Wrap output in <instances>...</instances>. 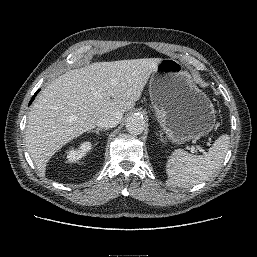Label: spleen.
Wrapping results in <instances>:
<instances>
[{"mask_svg":"<svg viewBox=\"0 0 257 257\" xmlns=\"http://www.w3.org/2000/svg\"><path fill=\"white\" fill-rule=\"evenodd\" d=\"M229 143V135L223 134L206 155L196 156L181 149L175 150L166 163V184L188 188L208 180L223 163Z\"/></svg>","mask_w":257,"mask_h":257,"instance_id":"1","label":"spleen"}]
</instances>
